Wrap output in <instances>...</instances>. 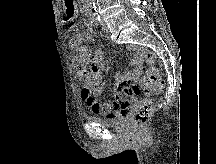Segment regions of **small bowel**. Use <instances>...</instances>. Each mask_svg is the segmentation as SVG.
Segmentation results:
<instances>
[{"label":"small bowel","instance_id":"small-bowel-1","mask_svg":"<svg viewBox=\"0 0 216 164\" xmlns=\"http://www.w3.org/2000/svg\"><path fill=\"white\" fill-rule=\"evenodd\" d=\"M84 36L87 41H94V36L91 32H86ZM69 46L74 54V69L76 70L77 77L82 82L81 97L87 106L94 113L104 114L113 120L126 116L132 104L122 99L121 88L125 82L136 81L141 75L143 50H135L131 62L133 67L132 71L118 73L116 75V84L112 88L115 97L114 101L112 103H100L97 97L103 91L101 84L103 79L102 72L105 67L103 52L97 50L93 53L89 46L83 44V36L78 31L72 34ZM88 64H90L89 69L86 67Z\"/></svg>","mask_w":216,"mask_h":164}]
</instances>
